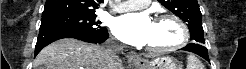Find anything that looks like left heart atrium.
<instances>
[{"instance_id": "obj_1", "label": "left heart atrium", "mask_w": 246, "mask_h": 69, "mask_svg": "<svg viewBox=\"0 0 246 69\" xmlns=\"http://www.w3.org/2000/svg\"><path fill=\"white\" fill-rule=\"evenodd\" d=\"M153 21L146 12L127 13L113 20L114 35L123 43L144 46L150 38Z\"/></svg>"}]
</instances>
